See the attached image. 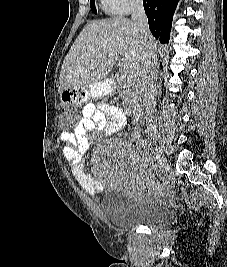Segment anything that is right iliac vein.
<instances>
[{"label":"right iliac vein","instance_id":"right-iliac-vein-1","mask_svg":"<svg viewBox=\"0 0 227 267\" xmlns=\"http://www.w3.org/2000/svg\"><path fill=\"white\" fill-rule=\"evenodd\" d=\"M154 143L156 144L158 167L161 170V172L163 174H165L169 169L167 159H166L161 147L156 143V141H154Z\"/></svg>","mask_w":227,"mask_h":267}]
</instances>
